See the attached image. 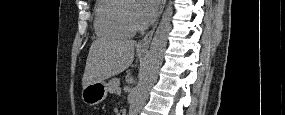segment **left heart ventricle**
Returning <instances> with one entry per match:
<instances>
[{
    "label": "left heart ventricle",
    "instance_id": "obj_1",
    "mask_svg": "<svg viewBox=\"0 0 285 115\" xmlns=\"http://www.w3.org/2000/svg\"><path fill=\"white\" fill-rule=\"evenodd\" d=\"M137 11H138V6L137 4L134 3H130L129 4V8H128V13L132 16V18L139 23L138 19H137Z\"/></svg>",
    "mask_w": 285,
    "mask_h": 115
}]
</instances>
